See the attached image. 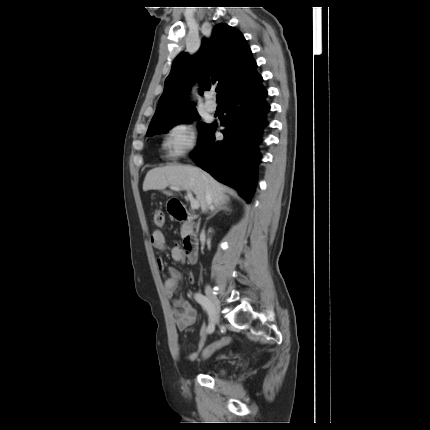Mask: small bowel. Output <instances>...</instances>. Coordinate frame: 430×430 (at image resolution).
Returning a JSON list of instances; mask_svg holds the SVG:
<instances>
[{
	"instance_id": "1",
	"label": "small bowel",
	"mask_w": 430,
	"mask_h": 430,
	"mask_svg": "<svg viewBox=\"0 0 430 430\" xmlns=\"http://www.w3.org/2000/svg\"><path fill=\"white\" fill-rule=\"evenodd\" d=\"M151 243L161 253L168 250L174 261L181 262L185 258L184 250L180 246L178 245H174L172 247L167 246L165 236L163 232L159 229H156L152 232ZM156 264L160 270L164 268V262L161 257L157 258ZM167 272H168V277L164 281V289L166 291L167 297L170 300H172L173 307H174L175 323L177 328L179 330H185L186 328L191 326L196 320L197 310L190 301L185 300L182 297H175V294L178 290L179 282L182 278L180 271L175 267H169L167 269ZM186 280L190 284L194 282V275L192 272L188 271L186 273ZM207 327H203L201 329L200 338L196 345V350L188 354L187 356L188 360L194 361L198 358L200 353L204 352L206 348L205 347L206 337L208 334Z\"/></svg>"
}]
</instances>
